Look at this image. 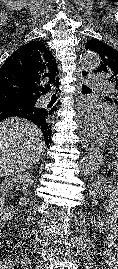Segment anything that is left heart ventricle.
Listing matches in <instances>:
<instances>
[{
    "label": "left heart ventricle",
    "mask_w": 118,
    "mask_h": 269,
    "mask_svg": "<svg viewBox=\"0 0 118 269\" xmlns=\"http://www.w3.org/2000/svg\"><path fill=\"white\" fill-rule=\"evenodd\" d=\"M117 127H118L117 125H114V124H113V128L117 129Z\"/></svg>",
    "instance_id": "obj_1"
}]
</instances>
